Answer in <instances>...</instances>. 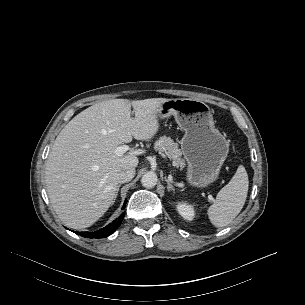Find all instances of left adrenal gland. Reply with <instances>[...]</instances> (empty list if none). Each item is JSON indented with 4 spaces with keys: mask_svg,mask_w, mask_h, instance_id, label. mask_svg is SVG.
I'll list each match as a JSON object with an SVG mask.
<instances>
[{
    "mask_svg": "<svg viewBox=\"0 0 305 305\" xmlns=\"http://www.w3.org/2000/svg\"><path fill=\"white\" fill-rule=\"evenodd\" d=\"M165 181L167 182V189H168V191L170 192V191H175V189H174V186L171 184V182H170V180L169 179H167L166 177H165Z\"/></svg>",
    "mask_w": 305,
    "mask_h": 305,
    "instance_id": "left-adrenal-gland-1",
    "label": "left adrenal gland"
}]
</instances>
